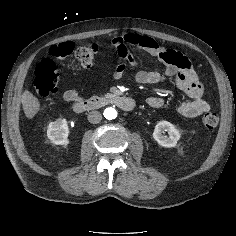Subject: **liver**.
<instances>
[{"label": "liver", "instance_id": "liver-1", "mask_svg": "<svg viewBox=\"0 0 236 236\" xmlns=\"http://www.w3.org/2000/svg\"><path fill=\"white\" fill-rule=\"evenodd\" d=\"M22 107L25 116L33 119L40 110V102L29 90H25L22 94Z\"/></svg>", "mask_w": 236, "mask_h": 236}]
</instances>
